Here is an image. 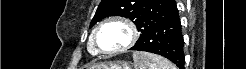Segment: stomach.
<instances>
[{"mask_svg":"<svg viewBox=\"0 0 246 69\" xmlns=\"http://www.w3.org/2000/svg\"><path fill=\"white\" fill-rule=\"evenodd\" d=\"M89 69H131L126 63L111 62L92 66Z\"/></svg>","mask_w":246,"mask_h":69,"instance_id":"stomach-1","label":"stomach"}]
</instances>
